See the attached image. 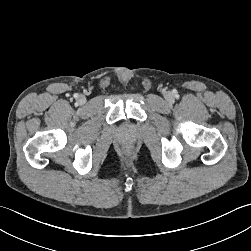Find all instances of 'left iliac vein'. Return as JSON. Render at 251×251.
Returning <instances> with one entry per match:
<instances>
[{
	"label": "left iliac vein",
	"instance_id": "4c4485c4",
	"mask_svg": "<svg viewBox=\"0 0 251 251\" xmlns=\"http://www.w3.org/2000/svg\"><path fill=\"white\" fill-rule=\"evenodd\" d=\"M165 97H166L167 100H170L172 96H171L170 93H167V94L165 95Z\"/></svg>",
	"mask_w": 251,
	"mask_h": 251
}]
</instances>
